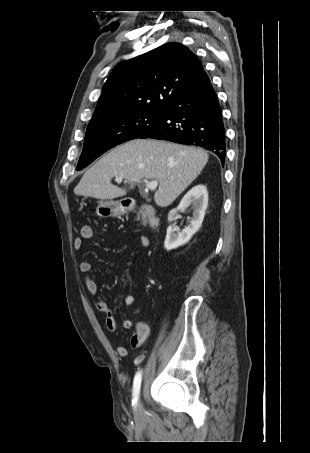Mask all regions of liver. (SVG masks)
Listing matches in <instances>:
<instances>
[{
  "instance_id": "liver-1",
  "label": "liver",
  "mask_w": 310,
  "mask_h": 453,
  "mask_svg": "<svg viewBox=\"0 0 310 453\" xmlns=\"http://www.w3.org/2000/svg\"><path fill=\"white\" fill-rule=\"evenodd\" d=\"M208 162L200 149L154 139H135L117 146L97 161L74 188L77 196L101 200L126 195V190L111 183L121 177L133 185L142 179L159 182L154 201L167 207L197 178Z\"/></svg>"
}]
</instances>
